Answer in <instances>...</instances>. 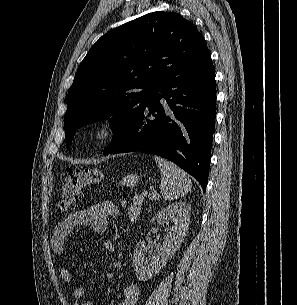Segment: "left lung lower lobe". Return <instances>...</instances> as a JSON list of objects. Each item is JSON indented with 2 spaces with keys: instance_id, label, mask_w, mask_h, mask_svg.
Returning <instances> with one entry per match:
<instances>
[{
  "instance_id": "obj_1",
  "label": "left lung lower lobe",
  "mask_w": 297,
  "mask_h": 305,
  "mask_svg": "<svg viewBox=\"0 0 297 305\" xmlns=\"http://www.w3.org/2000/svg\"><path fill=\"white\" fill-rule=\"evenodd\" d=\"M215 117L212 63L162 85L131 122L127 135L105 154L139 151L162 156L196 178L205 191Z\"/></svg>"
}]
</instances>
